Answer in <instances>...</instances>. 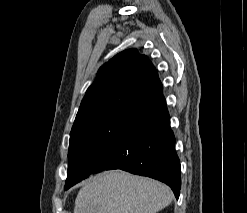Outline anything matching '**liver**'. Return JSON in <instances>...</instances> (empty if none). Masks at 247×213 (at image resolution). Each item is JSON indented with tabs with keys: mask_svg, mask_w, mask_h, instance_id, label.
Listing matches in <instances>:
<instances>
[{
	"mask_svg": "<svg viewBox=\"0 0 247 213\" xmlns=\"http://www.w3.org/2000/svg\"><path fill=\"white\" fill-rule=\"evenodd\" d=\"M172 199L170 188L159 181L111 170L84 183L74 213H157Z\"/></svg>",
	"mask_w": 247,
	"mask_h": 213,
	"instance_id": "6515ba94",
	"label": "liver"
}]
</instances>
